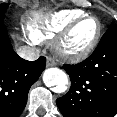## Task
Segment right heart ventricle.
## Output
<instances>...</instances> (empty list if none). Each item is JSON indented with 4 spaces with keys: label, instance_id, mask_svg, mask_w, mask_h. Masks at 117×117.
<instances>
[{
    "label": "right heart ventricle",
    "instance_id": "right-heart-ventricle-1",
    "mask_svg": "<svg viewBox=\"0 0 117 117\" xmlns=\"http://www.w3.org/2000/svg\"><path fill=\"white\" fill-rule=\"evenodd\" d=\"M86 15L82 10H61L42 20H34L28 27L29 38L35 43L52 39L76 18Z\"/></svg>",
    "mask_w": 117,
    "mask_h": 117
}]
</instances>
